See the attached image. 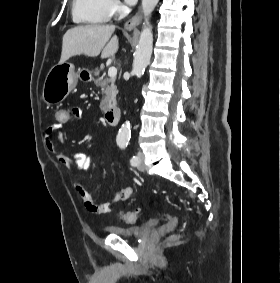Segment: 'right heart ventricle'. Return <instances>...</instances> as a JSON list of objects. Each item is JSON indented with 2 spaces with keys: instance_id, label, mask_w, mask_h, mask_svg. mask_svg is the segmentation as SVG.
<instances>
[{
  "instance_id": "right-heart-ventricle-1",
  "label": "right heart ventricle",
  "mask_w": 280,
  "mask_h": 283,
  "mask_svg": "<svg viewBox=\"0 0 280 283\" xmlns=\"http://www.w3.org/2000/svg\"><path fill=\"white\" fill-rule=\"evenodd\" d=\"M106 0H72V18L81 24H101L108 21Z\"/></svg>"
}]
</instances>
